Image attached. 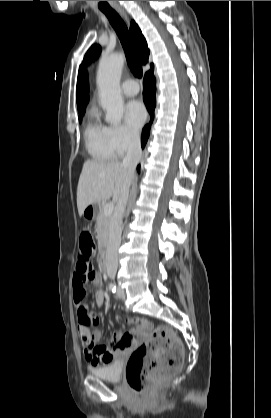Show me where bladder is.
Here are the masks:
<instances>
[{
    "label": "bladder",
    "mask_w": 271,
    "mask_h": 418,
    "mask_svg": "<svg viewBox=\"0 0 271 418\" xmlns=\"http://www.w3.org/2000/svg\"><path fill=\"white\" fill-rule=\"evenodd\" d=\"M123 363L121 361H112L104 366L91 368L93 376L108 382H118L121 378Z\"/></svg>",
    "instance_id": "obj_1"
}]
</instances>
